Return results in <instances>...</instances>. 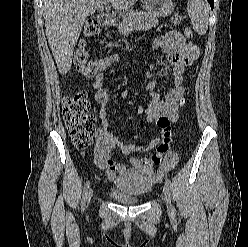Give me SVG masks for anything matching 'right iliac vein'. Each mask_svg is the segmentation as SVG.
<instances>
[{
    "mask_svg": "<svg viewBox=\"0 0 248 247\" xmlns=\"http://www.w3.org/2000/svg\"><path fill=\"white\" fill-rule=\"evenodd\" d=\"M92 194H93V191H92V190H89V192H88V194H87V202H88V203L91 201Z\"/></svg>",
    "mask_w": 248,
    "mask_h": 247,
    "instance_id": "obj_1",
    "label": "right iliac vein"
}]
</instances>
